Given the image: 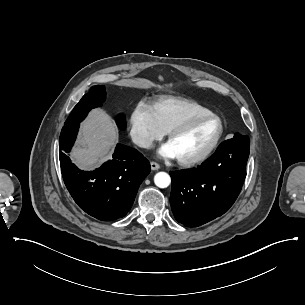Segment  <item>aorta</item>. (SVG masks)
<instances>
[{"label": "aorta", "mask_w": 305, "mask_h": 305, "mask_svg": "<svg viewBox=\"0 0 305 305\" xmlns=\"http://www.w3.org/2000/svg\"><path fill=\"white\" fill-rule=\"evenodd\" d=\"M154 183L159 188H166L170 185L171 178H170L169 174H167L166 172H158L154 176Z\"/></svg>", "instance_id": "1"}]
</instances>
